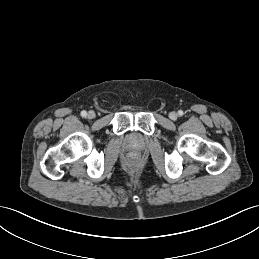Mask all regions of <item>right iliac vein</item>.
<instances>
[{
  "instance_id": "right-iliac-vein-1",
  "label": "right iliac vein",
  "mask_w": 259,
  "mask_h": 259,
  "mask_svg": "<svg viewBox=\"0 0 259 259\" xmlns=\"http://www.w3.org/2000/svg\"><path fill=\"white\" fill-rule=\"evenodd\" d=\"M87 117L89 119H94L95 118V112L94 111H89L88 114H87Z\"/></svg>"
}]
</instances>
